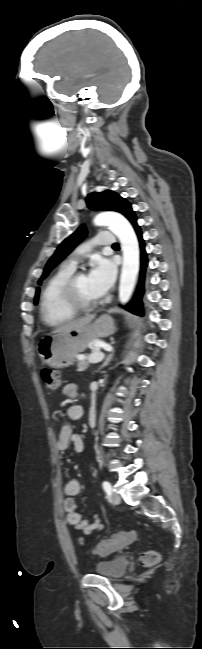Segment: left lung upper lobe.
<instances>
[{"mask_svg":"<svg viewBox=\"0 0 202 649\" xmlns=\"http://www.w3.org/2000/svg\"><path fill=\"white\" fill-rule=\"evenodd\" d=\"M86 203L89 209L93 211L97 210H111L123 214L128 220L135 215L134 211L131 208V204L124 198H122L117 193L106 190L101 193L93 192L89 194L86 198ZM87 231L84 226H81L74 232L71 236L66 238L57 248L54 255L48 260L42 277L39 279L38 284L41 285L42 280L48 275V273L59 264L70 252L71 250L82 241L86 236ZM40 289L37 288L36 295L34 298V304L38 303Z\"/></svg>","mask_w":202,"mask_h":649,"instance_id":"5c2ea615","label":"left lung upper lobe"}]
</instances>
